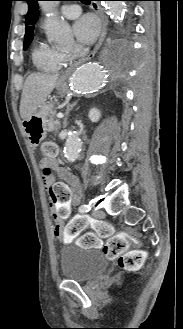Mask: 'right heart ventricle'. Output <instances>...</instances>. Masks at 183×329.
<instances>
[{
  "instance_id": "1",
  "label": "right heart ventricle",
  "mask_w": 183,
  "mask_h": 329,
  "mask_svg": "<svg viewBox=\"0 0 183 329\" xmlns=\"http://www.w3.org/2000/svg\"><path fill=\"white\" fill-rule=\"evenodd\" d=\"M68 57L47 43H39L32 53L34 66L41 71L55 72L67 62Z\"/></svg>"
}]
</instances>
